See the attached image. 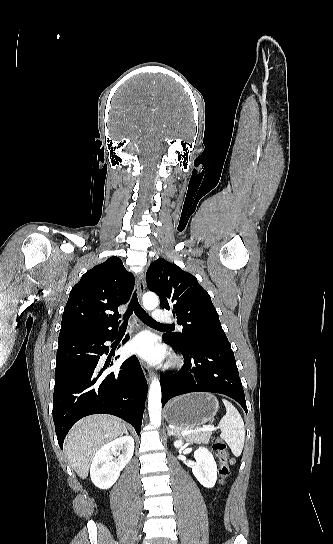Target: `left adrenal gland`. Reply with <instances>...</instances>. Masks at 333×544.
I'll list each match as a JSON object with an SVG mask.
<instances>
[{
  "label": "left adrenal gland",
  "mask_w": 333,
  "mask_h": 544,
  "mask_svg": "<svg viewBox=\"0 0 333 544\" xmlns=\"http://www.w3.org/2000/svg\"><path fill=\"white\" fill-rule=\"evenodd\" d=\"M167 432H168V435H169V436H171V435L180 436L179 433H176V432H174L173 430H170L168 427H167Z\"/></svg>",
  "instance_id": "a2214340"
}]
</instances>
